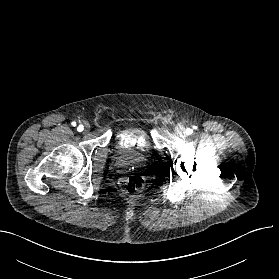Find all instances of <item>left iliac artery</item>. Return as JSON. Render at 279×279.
I'll use <instances>...</instances> for the list:
<instances>
[{"mask_svg": "<svg viewBox=\"0 0 279 279\" xmlns=\"http://www.w3.org/2000/svg\"><path fill=\"white\" fill-rule=\"evenodd\" d=\"M185 133H186L187 135H191V134L193 133V130L190 129V128H187L186 131H185Z\"/></svg>", "mask_w": 279, "mask_h": 279, "instance_id": "obj_1", "label": "left iliac artery"}]
</instances>
